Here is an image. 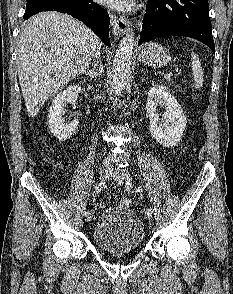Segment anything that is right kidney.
<instances>
[{"instance_id":"ca27d5eb","label":"right kidney","mask_w":233,"mask_h":294,"mask_svg":"<svg viewBox=\"0 0 233 294\" xmlns=\"http://www.w3.org/2000/svg\"><path fill=\"white\" fill-rule=\"evenodd\" d=\"M81 92H85V89L79 85H71L57 94L50 106L48 123L52 133L60 141L69 139L79 124L76 119L71 123H64L63 115L65 113L64 107L68 103H74ZM85 97H87V93H85Z\"/></svg>"}]
</instances>
